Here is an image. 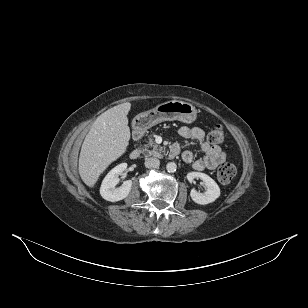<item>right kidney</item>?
I'll return each mask as SVG.
<instances>
[{
	"mask_svg": "<svg viewBox=\"0 0 308 308\" xmlns=\"http://www.w3.org/2000/svg\"><path fill=\"white\" fill-rule=\"evenodd\" d=\"M127 168V163H121L114 167L104 178L101 187V196L110 202H117L126 198L131 190L132 181H125L122 186L116 188L119 182V175Z\"/></svg>",
	"mask_w": 308,
	"mask_h": 308,
	"instance_id": "obj_1",
	"label": "right kidney"
}]
</instances>
